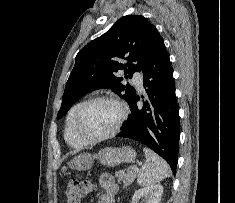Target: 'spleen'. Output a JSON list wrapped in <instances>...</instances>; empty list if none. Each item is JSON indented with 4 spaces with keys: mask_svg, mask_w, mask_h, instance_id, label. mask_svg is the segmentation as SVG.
<instances>
[{
    "mask_svg": "<svg viewBox=\"0 0 235 203\" xmlns=\"http://www.w3.org/2000/svg\"><path fill=\"white\" fill-rule=\"evenodd\" d=\"M146 162L138 172V184L140 186H151L171 176V169L167 162L149 148L143 149Z\"/></svg>",
    "mask_w": 235,
    "mask_h": 203,
    "instance_id": "obj_1",
    "label": "spleen"
}]
</instances>
